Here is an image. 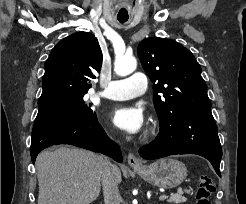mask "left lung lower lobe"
<instances>
[{
    "instance_id": "1",
    "label": "left lung lower lobe",
    "mask_w": 246,
    "mask_h": 204,
    "mask_svg": "<svg viewBox=\"0 0 246 204\" xmlns=\"http://www.w3.org/2000/svg\"><path fill=\"white\" fill-rule=\"evenodd\" d=\"M217 131L211 111L177 115L160 125L156 139L141 148L139 155L152 160L176 154H197L208 159L221 176L222 149Z\"/></svg>"
}]
</instances>
